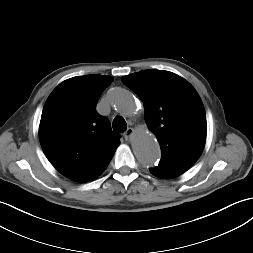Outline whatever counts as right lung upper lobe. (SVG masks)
<instances>
[{
  "label": "right lung upper lobe",
  "instance_id": "obj_1",
  "mask_svg": "<svg viewBox=\"0 0 253 253\" xmlns=\"http://www.w3.org/2000/svg\"><path fill=\"white\" fill-rule=\"evenodd\" d=\"M111 76L85 75L60 83L48 97L39 139L51 164L67 178L87 182L108 166L120 135L98 114L96 105Z\"/></svg>",
  "mask_w": 253,
  "mask_h": 253
}]
</instances>
